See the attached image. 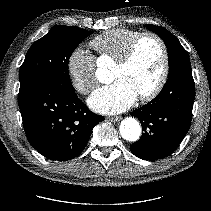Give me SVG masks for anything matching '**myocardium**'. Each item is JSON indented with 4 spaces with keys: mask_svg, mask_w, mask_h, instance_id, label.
<instances>
[{
    "mask_svg": "<svg viewBox=\"0 0 211 211\" xmlns=\"http://www.w3.org/2000/svg\"><path fill=\"white\" fill-rule=\"evenodd\" d=\"M146 38L153 39L160 46L161 52H162V70H161L160 77H159L157 83L155 84V86L149 92L138 96L139 100L142 102H149V101L155 99L160 94V92L163 90V88L167 82L168 75H169V53H168V48H167L165 41L158 34H156L154 32L140 33L130 43V45L128 46L127 50L122 55V57H120L115 62V66L119 67V68L128 66L132 62V60L136 54V51L138 49L139 44Z\"/></svg>",
    "mask_w": 211,
    "mask_h": 211,
    "instance_id": "obj_1",
    "label": "myocardium"
}]
</instances>
